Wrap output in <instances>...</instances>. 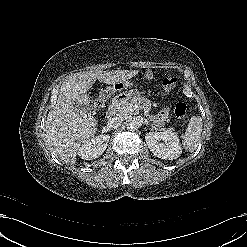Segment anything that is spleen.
<instances>
[{
	"label": "spleen",
	"mask_w": 247,
	"mask_h": 247,
	"mask_svg": "<svg viewBox=\"0 0 247 247\" xmlns=\"http://www.w3.org/2000/svg\"><path fill=\"white\" fill-rule=\"evenodd\" d=\"M202 117L193 116L188 124L185 134L181 136L186 150L194 152L198 146L201 133H202Z\"/></svg>",
	"instance_id": "1"
}]
</instances>
